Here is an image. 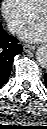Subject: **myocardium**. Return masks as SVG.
I'll use <instances>...</instances> for the list:
<instances>
[{
  "mask_svg": "<svg viewBox=\"0 0 47 129\" xmlns=\"http://www.w3.org/2000/svg\"><path fill=\"white\" fill-rule=\"evenodd\" d=\"M44 13L47 15V0H45L33 13V17L36 19L37 16Z\"/></svg>",
  "mask_w": 47,
  "mask_h": 129,
  "instance_id": "1",
  "label": "myocardium"
}]
</instances>
